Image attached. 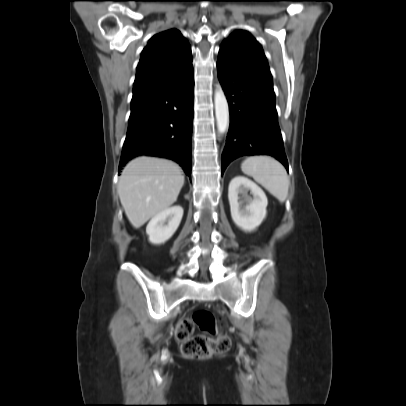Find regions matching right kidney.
I'll use <instances>...</instances> for the list:
<instances>
[{"mask_svg": "<svg viewBox=\"0 0 406 406\" xmlns=\"http://www.w3.org/2000/svg\"><path fill=\"white\" fill-rule=\"evenodd\" d=\"M183 216L181 206L168 208L154 216L146 227V233L152 244H162L176 232Z\"/></svg>", "mask_w": 406, "mask_h": 406, "instance_id": "1", "label": "right kidney"}]
</instances>
